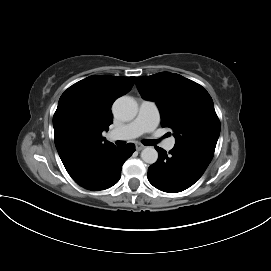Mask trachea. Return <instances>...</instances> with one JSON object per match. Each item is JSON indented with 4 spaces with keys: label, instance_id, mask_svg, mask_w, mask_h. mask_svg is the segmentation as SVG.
<instances>
[{
    "label": "trachea",
    "instance_id": "trachea-1",
    "mask_svg": "<svg viewBox=\"0 0 271 271\" xmlns=\"http://www.w3.org/2000/svg\"><path fill=\"white\" fill-rule=\"evenodd\" d=\"M156 143H157L156 140H144L143 141V144L146 146H152V145H155ZM116 144L121 145V144H125V142L124 141H116Z\"/></svg>",
    "mask_w": 271,
    "mask_h": 271
}]
</instances>
